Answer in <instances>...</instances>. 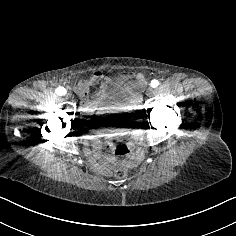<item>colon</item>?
<instances>
[{
	"label": "colon",
	"mask_w": 236,
	"mask_h": 236,
	"mask_svg": "<svg viewBox=\"0 0 236 236\" xmlns=\"http://www.w3.org/2000/svg\"><path fill=\"white\" fill-rule=\"evenodd\" d=\"M115 176L119 179H123L127 176V170L124 169V168H118L116 171H115Z\"/></svg>",
	"instance_id": "1"
}]
</instances>
